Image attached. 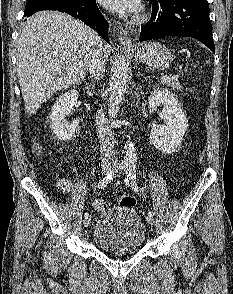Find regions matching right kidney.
<instances>
[{
    "label": "right kidney",
    "mask_w": 233,
    "mask_h": 294,
    "mask_svg": "<svg viewBox=\"0 0 233 294\" xmlns=\"http://www.w3.org/2000/svg\"><path fill=\"white\" fill-rule=\"evenodd\" d=\"M78 99V91H68L59 98L53 105L51 112V126L53 133L60 141H69L79 126V120L69 123L65 117L72 114L73 107Z\"/></svg>",
    "instance_id": "obj_1"
}]
</instances>
